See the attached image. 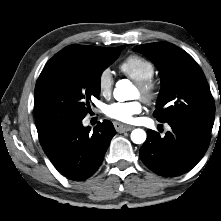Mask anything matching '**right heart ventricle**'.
<instances>
[{
  "instance_id": "obj_1",
  "label": "right heart ventricle",
  "mask_w": 221,
  "mask_h": 221,
  "mask_svg": "<svg viewBox=\"0 0 221 221\" xmlns=\"http://www.w3.org/2000/svg\"><path fill=\"white\" fill-rule=\"evenodd\" d=\"M120 71L134 81L150 79L155 73V67L151 61L139 56L130 55L119 65Z\"/></svg>"
}]
</instances>
